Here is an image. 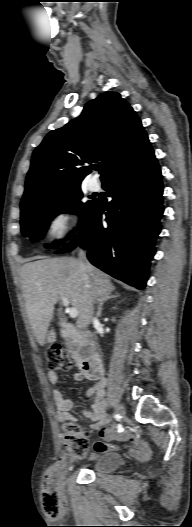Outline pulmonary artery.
Returning a JSON list of instances; mask_svg holds the SVG:
<instances>
[{
	"label": "pulmonary artery",
	"mask_w": 192,
	"mask_h": 527,
	"mask_svg": "<svg viewBox=\"0 0 192 527\" xmlns=\"http://www.w3.org/2000/svg\"><path fill=\"white\" fill-rule=\"evenodd\" d=\"M87 187L90 191H96L98 188H99V185L97 183L96 180L94 179H91L88 183H87Z\"/></svg>",
	"instance_id": "1"
}]
</instances>
